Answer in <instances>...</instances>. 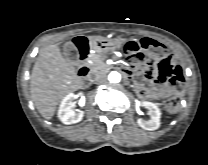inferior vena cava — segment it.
Here are the masks:
<instances>
[{"label": "inferior vena cava", "mask_w": 208, "mask_h": 165, "mask_svg": "<svg viewBox=\"0 0 208 165\" xmlns=\"http://www.w3.org/2000/svg\"><path fill=\"white\" fill-rule=\"evenodd\" d=\"M95 80L97 84H104L107 82V77L101 74V75H98Z\"/></svg>", "instance_id": "1"}]
</instances>
